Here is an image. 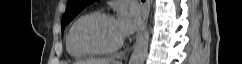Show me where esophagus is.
<instances>
[{"label": "esophagus", "mask_w": 242, "mask_h": 64, "mask_svg": "<svg viewBox=\"0 0 242 64\" xmlns=\"http://www.w3.org/2000/svg\"><path fill=\"white\" fill-rule=\"evenodd\" d=\"M149 10H150V0H146L145 3L143 4V28L142 31L145 29L148 15H149ZM141 31V33H142ZM139 38V36H138Z\"/></svg>", "instance_id": "1"}]
</instances>
